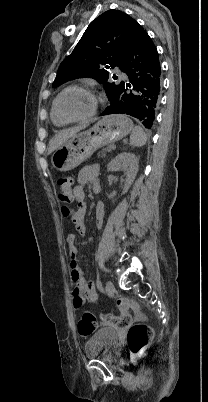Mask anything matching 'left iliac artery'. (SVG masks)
I'll use <instances>...</instances> for the list:
<instances>
[{
  "instance_id": "left-iliac-artery-1",
  "label": "left iliac artery",
  "mask_w": 208,
  "mask_h": 402,
  "mask_svg": "<svg viewBox=\"0 0 208 402\" xmlns=\"http://www.w3.org/2000/svg\"><path fill=\"white\" fill-rule=\"evenodd\" d=\"M97 288L99 289V290H102V283H101V280L100 279H98L97 280Z\"/></svg>"
}]
</instances>
